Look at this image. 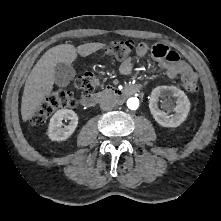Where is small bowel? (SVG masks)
I'll return each mask as SVG.
<instances>
[{"label": "small bowel", "instance_id": "1", "mask_svg": "<svg viewBox=\"0 0 221 221\" xmlns=\"http://www.w3.org/2000/svg\"><path fill=\"white\" fill-rule=\"evenodd\" d=\"M149 51L148 44L141 42L137 46V55L143 58ZM152 55L158 61L159 66L164 69L166 76L169 79H174L178 75H188L193 73L192 68L188 63L181 60L179 55L170 50L166 45L162 43L156 44L152 48ZM119 70L122 74H130L133 70V63L131 59H125L120 64Z\"/></svg>", "mask_w": 221, "mask_h": 221}]
</instances>
